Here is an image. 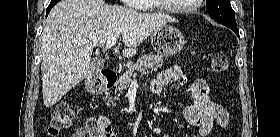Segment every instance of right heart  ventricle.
Instances as JSON below:
<instances>
[{"mask_svg":"<svg viewBox=\"0 0 280 137\" xmlns=\"http://www.w3.org/2000/svg\"><path fill=\"white\" fill-rule=\"evenodd\" d=\"M145 2H151V0H144Z\"/></svg>","mask_w":280,"mask_h":137,"instance_id":"right-heart-ventricle-1","label":"right heart ventricle"}]
</instances>
